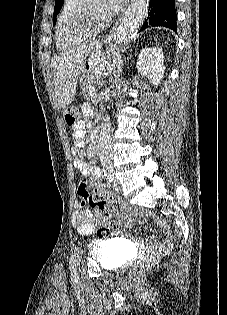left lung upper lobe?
Returning <instances> with one entry per match:
<instances>
[{
  "mask_svg": "<svg viewBox=\"0 0 227 315\" xmlns=\"http://www.w3.org/2000/svg\"><path fill=\"white\" fill-rule=\"evenodd\" d=\"M64 0H55V9H54V14H53V25L55 24L56 21V16L60 12L62 5H63Z\"/></svg>",
  "mask_w": 227,
  "mask_h": 315,
  "instance_id": "obj_1",
  "label": "left lung upper lobe"
}]
</instances>
